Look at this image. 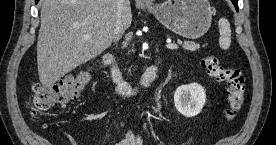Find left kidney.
<instances>
[{
	"label": "left kidney",
	"instance_id": "5707ae66",
	"mask_svg": "<svg viewBox=\"0 0 276 145\" xmlns=\"http://www.w3.org/2000/svg\"><path fill=\"white\" fill-rule=\"evenodd\" d=\"M205 103V90L198 83L194 82L189 85H182L175 91V107L185 117H194L198 115L202 111Z\"/></svg>",
	"mask_w": 276,
	"mask_h": 145
}]
</instances>
